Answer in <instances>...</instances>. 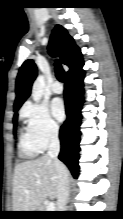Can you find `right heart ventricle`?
Segmentation results:
<instances>
[{"label":"right heart ventricle","instance_id":"e07e8e85","mask_svg":"<svg viewBox=\"0 0 123 219\" xmlns=\"http://www.w3.org/2000/svg\"><path fill=\"white\" fill-rule=\"evenodd\" d=\"M19 147L21 154L26 158H32L41 151L33 141L28 129L21 132Z\"/></svg>","mask_w":123,"mask_h":219}]
</instances>
